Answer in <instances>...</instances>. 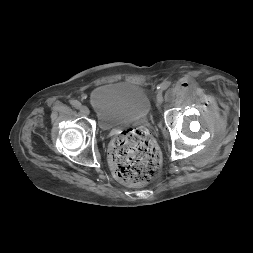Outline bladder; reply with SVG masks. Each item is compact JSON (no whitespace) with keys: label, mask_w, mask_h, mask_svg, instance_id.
<instances>
[{"label":"bladder","mask_w":253,"mask_h":253,"mask_svg":"<svg viewBox=\"0 0 253 253\" xmlns=\"http://www.w3.org/2000/svg\"><path fill=\"white\" fill-rule=\"evenodd\" d=\"M90 104L102 124L135 121L148 116L151 99L146 90L133 83L101 85L90 94Z\"/></svg>","instance_id":"bladder-1"}]
</instances>
